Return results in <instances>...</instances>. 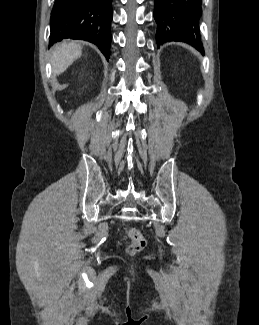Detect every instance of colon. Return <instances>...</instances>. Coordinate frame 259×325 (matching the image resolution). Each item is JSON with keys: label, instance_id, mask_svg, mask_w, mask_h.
Instances as JSON below:
<instances>
[{"label": "colon", "instance_id": "obj_1", "mask_svg": "<svg viewBox=\"0 0 259 325\" xmlns=\"http://www.w3.org/2000/svg\"><path fill=\"white\" fill-rule=\"evenodd\" d=\"M127 237L130 240V245L128 246V253L133 255L142 251L146 246V240L143 235L134 228L127 229Z\"/></svg>", "mask_w": 259, "mask_h": 325}]
</instances>
